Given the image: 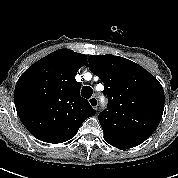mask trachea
I'll use <instances>...</instances> for the list:
<instances>
[{"instance_id": "3493384b", "label": "trachea", "mask_w": 178, "mask_h": 178, "mask_svg": "<svg viewBox=\"0 0 178 178\" xmlns=\"http://www.w3.org/2000/svg\"><path fill=\"white\" fill-rule=\"evenodd\" d=\"M93 94V89L90 86H84L81 90V95L86 98L89 99Z\"/></svg>"}]
</instances>
